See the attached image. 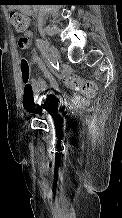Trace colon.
<instances>
[{
	"label": "colon",
	"instance_id": "1",
	"mask_svg": "<svg viewBox=\"0 0 122 218\" xmlns=\"http://www.w3.org/2000/svg\"><path fill=\"white\" fill-rule=\"evenodd\" d=\"M10 18L14 28L18 32H25L31 24V18L28 15H25L21 12H17V11L11 12ZM29 59H30V55L27 52H24L21 58L20 72H21V80L24 88V96L26 98L25 104L29 110H32L35 105V102L32 95L33 85L30 75ZM66 81L70 86V88L76 91H80L86 96H92L96 92V87L94 86L93 83L88 81H83L82 79L76 76L71 75L68 78H66Z\"/></svg>",
	"mask_w": 122,
	"mask_h": 218
}]
</instances>
